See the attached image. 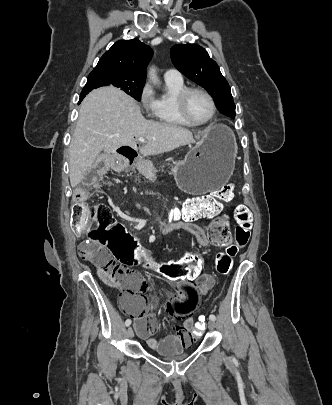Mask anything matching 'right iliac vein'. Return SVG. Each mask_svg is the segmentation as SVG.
Returning a JSON list of instances; mask_svg holds the SVG:
<instances>
[{
    "mask_svg": "<svg viewBox=\"0 0 332 405\" xmlns=\"http://www.w3.org/2000/svg\"><path fill=\"white\" fill-rule=\"evenodd\" d=\"M127 336L129 337V338H133V336H134V332H133V329L131 328V327H129L128 329H127Z\"/></svg>",
    "mask_w": 332,
    "mask_h": 405,
    "instance_id": "63e3f726",
    "label": "right iliac vein"
}]
</instances>
